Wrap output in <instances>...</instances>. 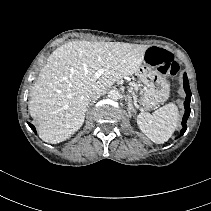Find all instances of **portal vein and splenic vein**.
<instances>
[{"label":"portal vein and splenic vein","mask_w":211,"mask_h":211,"mask_svg":"<svg viewBox=\"0 0 211 211\" xmlns=\"http://www.w3.org/2000/svg\"><path fill=\"white\" fill-rule=\"evenodd\" d=\"M103 73H104V69L101 68L95 73V77L99 78ZM132 95H134V92H132Z\"/></svg>","instance_id":"portal-vein-and-splenic-vein-1"}]
</instances>
